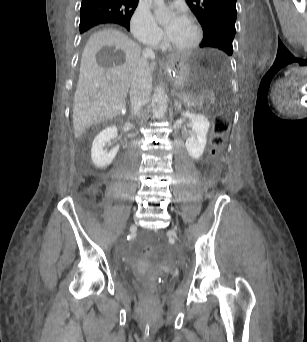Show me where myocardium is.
Returning a JSON list of instances; mask_svg holds the SVG:
<instances>
[{
	"instance_id": "myocardium-1",
	"label": "myocardium",
	"mask_w": 307,
	"mask_h": 342,
	"mask_svg": "<svg viewBox=\"0 0 307 342\" xmlns=\"http://www.w3.org/2000/svg\"><path fill=\"white\" fill-rule=\"evenodd\" d=\"M186 23L190 26L193 32V38L191 42L186 47L181 49H171L169 45H166V50H172L176 54H186L192 52L201 44L203 39V31L200 25L194 19H188Z\"/></svg>"
}]
</instances>
